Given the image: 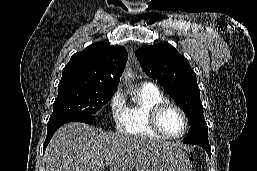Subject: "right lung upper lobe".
<instances>
[{
	"label": "right lung upper lobe",
	"mask_w": 257,
	"mask_h": 171,
	"mask_svg": "<svg viewBox=\"0 0 257 171\" xmlns=\"http://www.w3.org/2000/svg\"><path fill=\"white\" fill-rule=\"evenodd\" d=\"M127 59V51L121 46L93 43L71 57L58 87L84 85L116 90Z\"/></svg>",
	"instance_id": "cb5924a9"
}]
</instances>
